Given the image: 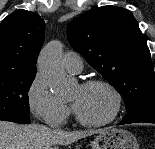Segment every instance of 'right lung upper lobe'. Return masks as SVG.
Here are the masks:
<instances>
[{
  "instance_id": "cb5924a9",
  "label": "right lung upper lobe",
  "mask_w": 155,
  "mask_h": 149,
  "mask_svg": "<svg viewBox=\"0 0 155 149\" xmlns=\"http://www.w3.org/2000/svg\"><path fill=\"white\" fill-rule=\"evenodd\" d=\"M45 23L36 13L19 9L0 24V74L36 72Z\"/></svg>"
}]
</instances>
